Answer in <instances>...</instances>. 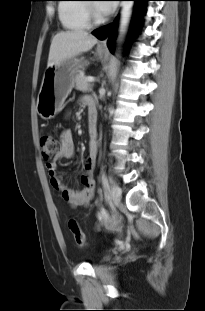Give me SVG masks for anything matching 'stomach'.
Listing matches in <instances>:
<instances>
[{
	"mask_svg": "<svg viewBox=\"0 0 205 311\" xmlns=\"http://www.w3.org/2000/svg\"><path fill=\"white\" fill-rule=\"evenodd\" d=\"M97 55L102 58L105 51L97 49ZM85 65L83 58L74 56L47 68L37 98V112L43 119H51L61 110L74 86L75 76Z\"/></svg>",
	"mask_w": 205,
	"mask_h": 311,
	"instance_id": "1",
	"label": "stomach"
}]
</instances>
